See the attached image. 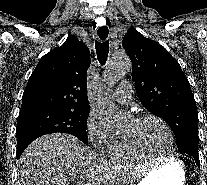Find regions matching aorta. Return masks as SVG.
<instances>
[{"instance_id": "aorta-1", "label": "aorta", "mask_w": 207, "mask_h": 185, "mask_svg": "<svg viewBox=\"0 0 207 185\" xmlns=\"http://www.w3.org/2000/svg\"><path fill=\"white\" fill-rule=\"evenodd\" d=\"M131 67V60L128 56L118 55L107 62L103 72L104 97L102 109L108 122L116 130L122 129L126 125L128 115L115 105L109 92L131 70Z\"/></svg>"}]
</instances>
